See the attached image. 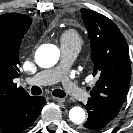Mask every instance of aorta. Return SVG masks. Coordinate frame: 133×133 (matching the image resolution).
I'll return each instance as SVG.
<instances>
[{
  "instance_id": "762f6f07",
  "label": "aorta",
  "mask_w": 133,
  "mask_h": 133,
  "mask_svg": "<svg viewBox=\"0 0 133 133\" xmlns=\"http://www.w3.org/2000/svg\"><path fill=\"white\" fill-rule=\"evenodd\" d=\"M59 49L52 44H45L41 46L35 55L36 63L42 68H49L54 66L59 60ZM85 111L78 106L72 107L69 111V119L74 124H81L85 121Z\"/></svg>"
}]
</instances>
